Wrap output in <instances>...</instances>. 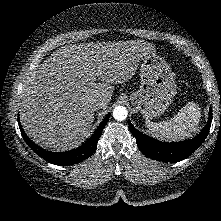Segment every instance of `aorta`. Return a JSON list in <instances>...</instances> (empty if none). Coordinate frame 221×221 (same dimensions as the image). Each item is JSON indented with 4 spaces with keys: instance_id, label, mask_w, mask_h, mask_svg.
<instances>
[{
    "instance_id": "762f6f07",
    "label": "aorta",
    "mask_w": 221,
    "mask_h": 221,
    "mask_svg": "<svg viewBox=\"0 0 221 221\" xmlns=\"http://www.w3.org/2000/svg\"><path fill=\"white\" fill-rule=\"evenodd\" d=\"M128 111L124 106H117L113 110V117L118 121H123L127 118Z\"/></svg>"
}]
</instances>
